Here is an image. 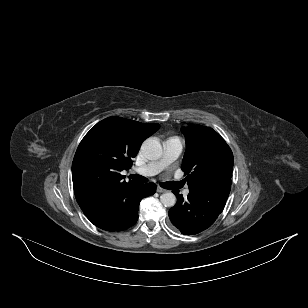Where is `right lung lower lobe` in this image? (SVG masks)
<instances>
[{"label":"right lung lower lobe","instance_id":"right-lung-lower-lobe-1","mask_svg":"<svg viewBox=\"0 0 308 308\" xmlns=\"http://www.w3.org/2000/svg\"><path fill=\"white\" fill-rule=\"evenodd\" d=\"M156 191L154 183L136 186L128 198L112 212L88 218L95 226L106 231H122L133 226L138 219L140 201Z\"/></svg>","mask_w":308,"mask_h":308}]
</instances>
